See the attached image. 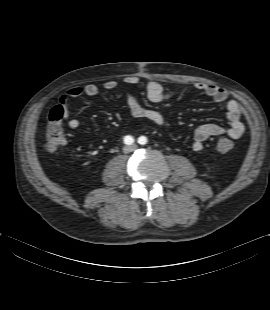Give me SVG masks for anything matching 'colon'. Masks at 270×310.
<instances>
[{"label":"colon","mask_w":270,"mask_h":310,"mask_svg":"<svg viewBox=\"0 0 270 310\" xmlns=\"http://www.w3.org/2000/svg\"><path fill=\"white\" fill-rule=\"evenodd\" d=\"M63 116L62 108L57 105L49 114L46 128V147L49 152L57 151L65 143ZM216 148L222 153L229 152L233 148V142L227 137H220L216 141Z\"/></svg>","instance_id":"5ec220e1"}]
</instances>
